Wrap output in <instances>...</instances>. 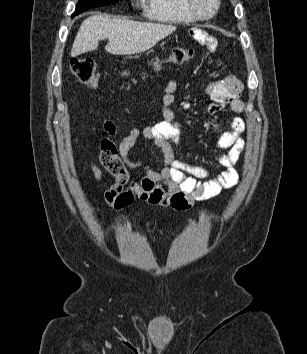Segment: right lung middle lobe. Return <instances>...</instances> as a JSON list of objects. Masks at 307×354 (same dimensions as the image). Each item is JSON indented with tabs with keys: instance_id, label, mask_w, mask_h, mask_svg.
Masks as SVG:
<instances>
[{
	"instance_id": "right-lung-middle-lobe-1",
	"label": "right lung middle lobe",
	"mask_w": 307,
	"mask_h": 354,
	"mask_svg": "<svg viewBox=\"0 0 307 354\" xmlns=\"http://www.w3.org/2000/svg\"><path fill=\"white\" fill-rule=\"evenodd\" d=\"M116 2H118V0H79V2L76 5V10L73 13L72 17L85 10L114 4Z\"/></svg>"
}]
</instances>
